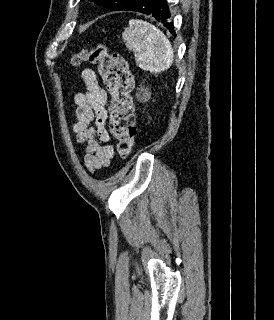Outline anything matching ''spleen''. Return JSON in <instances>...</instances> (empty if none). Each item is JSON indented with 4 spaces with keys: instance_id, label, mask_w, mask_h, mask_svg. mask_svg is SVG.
I'll return each mask as SVG.
<instances>
[{
    "instance_id": "3e777b00",
    "label": "spleen",
    "mask_w": 274,
    "mask_h": 320,
    "mask_svg": "<svg viewBox=\"0 0 274 320\" xmlns=\"http://www.w3.org/2000/svg\"><path fill=\"white\" fill-rule=\"evenodd\" d=\"M126 48L134 52L138 68L160 74L173 64V48L156 26L143 20H129V28L122 34Z\"/></svg>"
}]
</instances>
